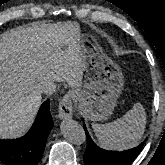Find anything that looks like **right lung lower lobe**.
Listing matches in <instances>:
<instances>
[{
	"mask_svg": "<svg viewBox=\"0 0 165 165\" xmlns=\"http://www.w3.org/2000/svg\"><path fill=\"white\" fill-rule=\"evenodd\" d=\"M50 101H45L29 132L18 139H0V161L6 165H37L40 161L46 138L53 127L49 110Z\"/></svg>",
	"mask_w": 165,
	"mask_h": 165,
	"instance_id": "obj_1",
	"label": "right lung lower lobe"
}]
</instances>
